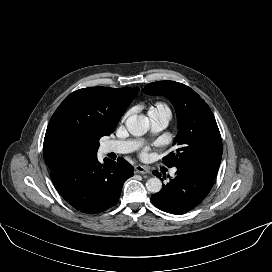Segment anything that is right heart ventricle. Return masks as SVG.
I'll list each match as a JSON object with an SVG mask.
<instances>
[{
  "instance_id": "e07e8e85",
  "label": "right heart ventricle",
  "mask_w": 272,
  "mask_h": 272,
  "mask_svg": "<svg viewBox=\"0 0 272 272\" xmlns=\"http://www.w3.org/2000/svg\"><path fill=\"white\" fill-rule=\"evenodd\" d=\"M164 114L171 117V110L164 102H156L148 108V117Z\"/></svg>"
}]
</instances>
